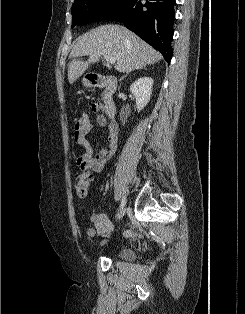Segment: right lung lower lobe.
I'll list each match as a JSON object with an SVG mask.
<instances>
[{
	"label": "right lung lower lobe",
	"mask_w": 245,
	"mask_h": 314,
	"mask_svg": "<svg viewBox=\"0 0 245 314\" xmlns=\"http://www.w3.org/2000/svg\"><path fill=\"white\" fill-rule=\"evenodd\" d=\"M175 0H130L124 7L107 17L122 22L144 41L159 50L170 62L172 58Z\"/></svg>",
	"instance_id": "right-lung-lower-lobe-1"
}]
</instances>
